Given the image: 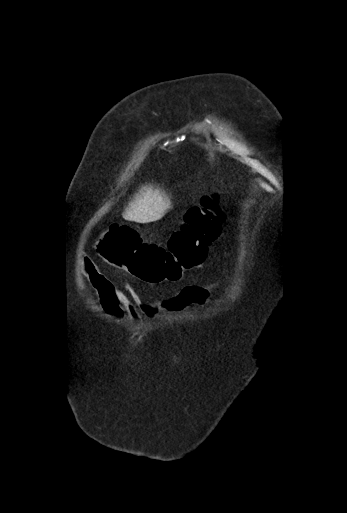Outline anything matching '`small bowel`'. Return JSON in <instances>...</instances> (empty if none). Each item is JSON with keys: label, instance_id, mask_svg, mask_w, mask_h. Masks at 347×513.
I'll return each mask as SVG.
<instances>
[{"label": "small bowel", "instance_id": "1", "mask_svg": "<svg viewBox=\"0 0 347 513\" xmlns=\"http://www.w3.org/2000/svg\"><path fill=\"white\" fill-rule=\"evenodd\" d=\"M80 268L97 293L104 311L115 318L126 314L132 320H140L155 317L170 308L203 306L210 301L211 289L219 286L215 282L186 285L168 301L146 303L132 285L126 284L124 290L116 288L89 257L82 258Z\"/></svg>", "mask_w": 347, "mask_h": 513}]
</instances>
